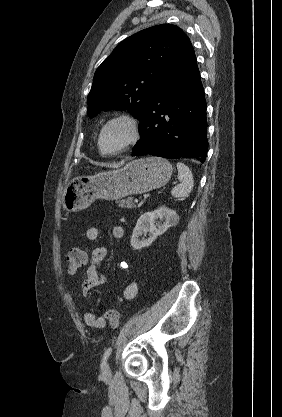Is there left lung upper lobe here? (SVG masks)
<instances>
[{"mask_svg":"<svg viewBox=\"0 0 282 417\" xmlns=\"http://www.w3.org/2000/svg\"><path fill=\"white\" fill-rule=\"evenodd\" d=\"M190 45L185 33L171 24L153 26L123 40L94 74L88 116L127 109L141 120L159 83Z\"/></svg>","mask_w":282,"mask_h":417,"instance_id":"left-lung-upper-lobe-1","label":"left lung upper lobe"}]
</instances>
